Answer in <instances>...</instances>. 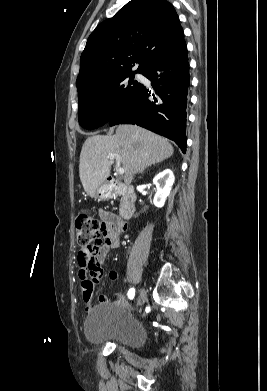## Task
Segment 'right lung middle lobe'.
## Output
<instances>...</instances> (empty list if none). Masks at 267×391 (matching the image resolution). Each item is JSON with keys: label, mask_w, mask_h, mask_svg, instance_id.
<instances>
[{"label": "right lung middle lobe", "mask_w": 267, "mask_h": 391, "mask_svg": "<svg viewBox=\"0 0 267 391\" xmlns=\"http://www.w3.org/2000/svg\"><path fill=\"white\" fill-rule=\"evenodd\" d=\"M136 73L142 72L124 71L103 77L79 93V124L90 130L106 124L142 87L134 81Z\"/></svg>", "instance_id": "dd1d6c3e"}]
</instances>
